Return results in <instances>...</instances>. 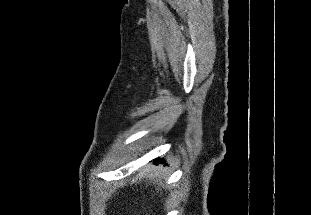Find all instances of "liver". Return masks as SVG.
Listing matches in <instances>:
<instances>
[{
    "mask_svg": "<svg viewBox=\"0 0 311 215\" xmlns=\"http://www.w3.org/2000/svg\"><path fill=\"white\" fill-rule=\"evenodd\" d=\"M147 170L144 169L143 173H145ZM147 178H149V180H154L155 182H158V179L156 178V176L153 173H149L147 175ZM160 178V176H159ZM160 180V179H159ZM160 185H162V182L159 183Z\"/></svg>",
    "mask_w": 311,
    "mask_h": 215,
    "instance_id": "1",
    "label": "liver"
}]
</instances>
